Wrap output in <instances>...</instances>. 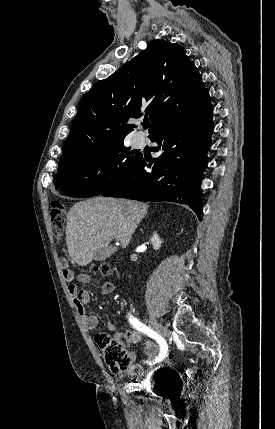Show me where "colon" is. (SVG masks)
<instances>
[{"label": "colon", "instance_id": "5ec220e1", "mask_svg": "<svg viewBox=\"0 0 275 429\" xmlns=\"http://www.w3.org/2000/svg\"><path fill=\"white\" fill-rule=\"evenodd\" d=\"M51 231L56 239H61L65 231V209L60 202H52L50 210ZM60 265L67 270L66 259L60 258ZM109 265L103 264L95 268V272L103 276L110 274ZM95 341L102 351L106 365L112 372H119L127 369L132 362V355L126 351L123 342L118 337H111L106 334H97Z\"/></svg>", "mask_w": 275, "mask_h": 429}]
</instances>
